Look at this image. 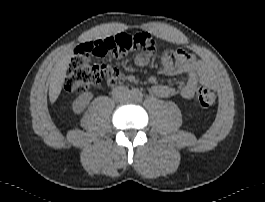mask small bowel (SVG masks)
Here are the masks:
<instances>
[{
  "label": "small bowel",
  "instance_id": "1",
  "mask_svg": "<svg viewBox=\"0 0 265 202\" xmlns=\"http://www.w3.org/2000/svg\"><path fill=\"white\" fill-rule=\"evenodd\" d=\"M75 53L80 56L92 55L99 57L103 55L97 50L95 40L81 43L75 49ZM135 62L137 65L144 66L148 64V59L138 55L135 58ZM159 72L166 75L184 74L186 76V81L179 88L165 84L154 85L153 92L161 98L180 96L184 99H191L200 84H208L212 81L204 63L197 60L193 55L185 54L179 50L164 52L162 56V66ZM119 80L120 77L109 81V84L115 85ZM128 80L133 81L134 77L129 76Z\"/></svg>",
  "mask_w": 265,
  "mask_h": 202
}]
</instances>
